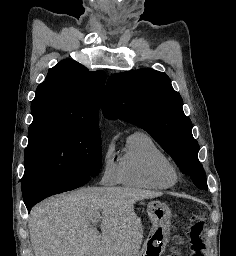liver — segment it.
Segmentation results:
<instances>
[{
	"instance_id": "liver-1",
	"label": "liver",
	"mask_w": 236,
	"mask_h": 256,
	"mask_svg": "<svg viewBox=\"0 0 236 256\" xmlns=\"http://www.w3.org/2000/svg\"><path fill=\"white\" fill-rule=\"evenodd\" d=\"M162 192L135 188H83L48 198L28 218L35 256H135L142 242V224L134 204L159 198ZM102 212L101 232L90 226Z\"/></svg>"
}]
</instances>
